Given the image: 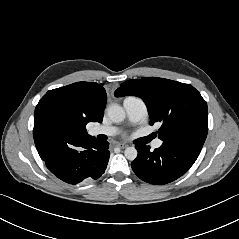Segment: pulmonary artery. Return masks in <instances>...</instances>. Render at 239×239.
<instances>
[{
  "instance_id": "1",
  "label": "pulmonary artery",
  "mask_w": 239,
  "mask_h": 239,
  "mask_svg": "<svg viewBox=\"0 0 239 239\" xmlns=\"http://www.w3.org/2000/svg\"><path fill=\"white\" fill-rule=\"evenodd\" d=\"M123 107L129 122L139 124L146 120L148 115L147 106L142 99L135 96L126 97L123 101ZM118 131V128L115 126H96L90 130V134L113 136ZM161 144V140L157 139L153 142V147L158 148Z\"/></svg>"
}]
</instances>
